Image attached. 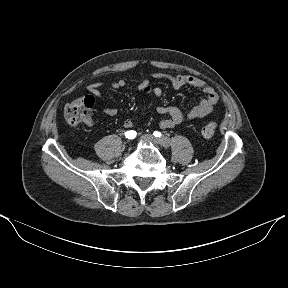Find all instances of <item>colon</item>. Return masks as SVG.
Listing matches in <instances>:
<instances>
[{
    "label": "colon",
    "mask_w": 288,
    "mask_h": 288,
    "mask_svg": "<svg viewBox=\"0 0 288 288\" xmlns=\"http://www.w3.org/2000/svg\"><path fill=\"white\" fill-rule=\"evenodd\" d=\"M94 105L95 99L90 95L71 101L64 108V119L66 123L74 127L80 123L90 122ZM216 128L217 125L215 122H209L201 129V134L205 138H210L214 135Z\"/></svg>",
    "instance_id": "1"
}]
</instances>
